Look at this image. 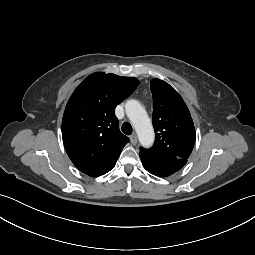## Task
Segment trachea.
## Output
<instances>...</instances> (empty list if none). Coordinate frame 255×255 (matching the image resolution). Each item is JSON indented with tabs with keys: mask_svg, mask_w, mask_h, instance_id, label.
Listing matches in <instances>:
<instances>
[{
	"mask_svg": "<svg viewBox=\"0 0 255 255\" xmlns=\"http://www.w3.org/2000/svg\"><path fill=\"white\" fill-rule=\"evenodd\" d=\"M122 132L126 135H130L132 133V126L130 123L125 122L122 125Z\"/></svg>",
	"mask_w": 255,
	"mask_h": 255,
	"instance_id": "1",
	"label": "trachea"
}]
</instances>
